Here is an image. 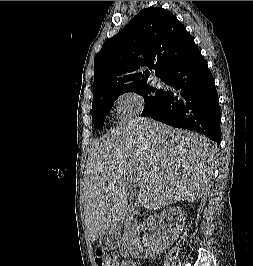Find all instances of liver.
<instances>
[{"mask_svg":"<svg viewBox=\"0 0 253 266\" xmlns=\"http://www.w3.org/2000/svg\"><path fill=\"white\" fill-rule=\"evenodd\" d=\"M213 144L195 132L151 119H133L93 144L84 175L85 224L94 242L116 229L128 214L127 182L141 183L137 203L161 209L196 202L208 187Z\"/></svg>","mask_w":253,"mask_h":266,"instance_id":"6515ba94","label":"liver"}]
</instances>
